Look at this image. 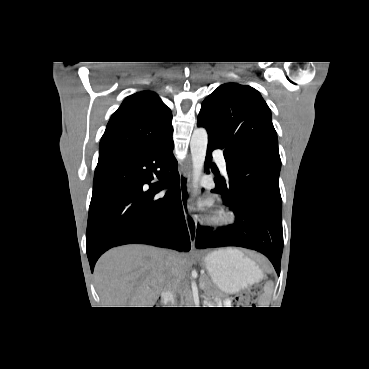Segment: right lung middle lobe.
<instances>
[{"mask_svg": "<svg viewBox=\"0 0 369 369\" xmlns=\"http://www.w3.org/2000/svg\"><path fill=\"white\" fill-rule=\"evenodd\" d=\"M106 164H102V165H97V167H96V170H99V169H101L102 167H104ZM95 170V171H96Z\"/></svg>", "mask_w": 369, "mask_h": 369, "instance_id": "dd1d6c3e", "label": "right lung middle lobe"}]
</instances>
